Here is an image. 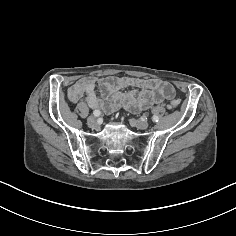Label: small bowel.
<instances>
[{"label":"small bowel","instance_id":"small-bowel-1","mask_svg":"<svg viewBox=\"0 0 236 236\" xmlns=\"http://www.w3.org/2000/svg\"><path fill=\"white\" fill-rule=\"evenodd\" d=\"M96 83L99 85L102 96L96 92ZM124 88H136L139 91L123 92ZM174 97L175 89L167 81L129 76H111L102 79L85 77L77 80L68 89L70 102L77 103L85 98L91 108L105 114H110L122 106L132 112H140Z\"/></svg>","mask_w":236,"mask_h":236}]
</instances>
